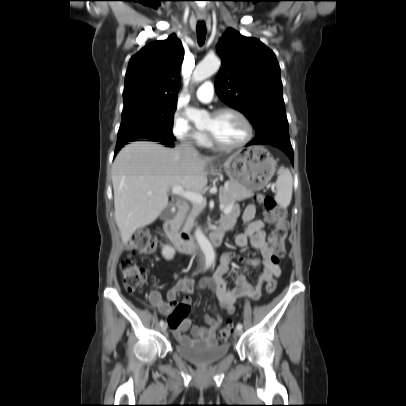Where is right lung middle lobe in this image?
<instances>
[{
    "mask_svg": "<svg viewBox=\"0 0 406 406\" xmlns=\"http://www.w3.org/2000/svg\"><path fill=\"white\" fill-rule=\"evenodd\" d=\"M176 106L136 105L124 108L118 131L117 145L139 139L175 140L172 134Z\"/></svg>",
    "mask_w": 406,
    "mask_h": 406,
    "instance_id": "dd1d6c3e",
    "label": "right lung middle lobe"
}]
</instances>
